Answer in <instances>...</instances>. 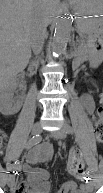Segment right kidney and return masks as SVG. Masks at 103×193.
Wrapping results in <instances>:
<instances>
[{"instance_id": "obj_1", "label": "right kidney", "mask_w": 103, "mask_h": 193, "mask_svg": "<svg viewBox=\"0 0 103 193\" xmlns=\"http://www.w3.org/2000/svg\"><path fill=\"white\" fill-rule=\"evenodd\" d=\"M17 86L16 75L11 78L1 76L0 81V111L3 115L16 114L20 108V103H14L12 90Z\"/></svg>"}]
</instances>
